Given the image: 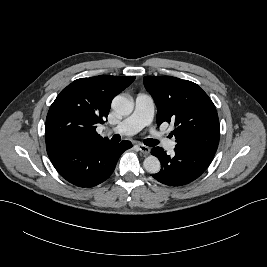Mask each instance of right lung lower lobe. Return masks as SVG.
<instances>
[{"label":"right lung lower lobe","instance_id":"98d812e1","mask_svg":"<svg viewBox=\"0 0 267 267\" xmlns=\"http://www.w3.org/2000/svg\"><path fill=\"white\" fill-rule=\"evenodd\" d=\"M132 147L131 142L110 141L70 148L47 149L58 173L79 187H93L110 177L121 154Z\"/></svg>","mask_w":267,"mask_h":267}]
</instances>
